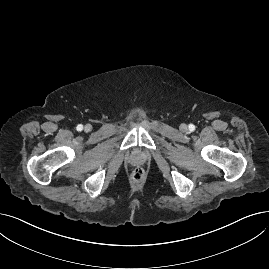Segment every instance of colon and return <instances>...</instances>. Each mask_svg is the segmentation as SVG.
Returning a JSON list of instances; mask_svg holds the SVG:
<instances>
[{
    "label": "colon",
    "instance_id": "obj_1",
    "mask_svg": "<svg viewBox=\"0 0 269 269\" xmlns=\"http://www.w3.org/2000/svg\"><path fill=\"white\" fill-rule=\"evenodd\" d=\"M145 175V171L141 166H137L132 171V177L134 180H141Z\"/></svg>",
    "mask_w": 269,
    "mask_h": 269
}]
</instances>
